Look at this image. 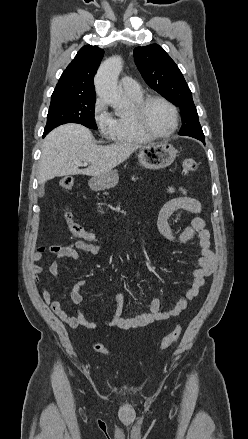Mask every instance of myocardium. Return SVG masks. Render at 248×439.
Masks as SVG:
<instances>
[{"mask_svg":"<svg viewBox=\"0 0 248 439\" xmlns=\"http://www.w3.org/2000/svg\"><path fill=\"white\" fill-rule=\"evenodd\" d=\"M153 101L163 102L164 104H166L170 108V110L172 112L173 127L171 128V130L169 132H167L165 134H159V133L154 132L153 130L150 129V127L147 124L146 110H147L148 105ZM134 118H135V121H136L138 127L141 129V131H143L145 134H147L151 138H158V139L169 138L176 132L178 125H179V115H178V110H177L176 106L171 101L166 99L165 97H162L159 95H148V96L143 97L135 105Z\"/></svg>","mask_w":248,"mask_h":439,"instance_id":"f54148a6","label":"myocardium"}]
</instances>
